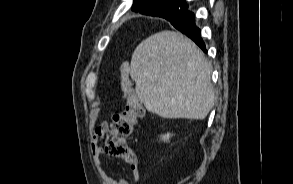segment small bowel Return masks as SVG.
I'll return each instance as SVG.
<instances>
[{
  "label": "small bowel",
  "mask_w": 293,
  "mask_h": 184,
  "mask_svg": "<svg viewBox=\"0 0 293 184\" xmlns=\"http://www.w3.org/2000/svg\"><path fill=\"white\" fill-rule=\"evenodd\" d=\"M109 129V124L107 121H102L98 127L91 134V149L93 153L94 162L100 172L103 180V184H129L126 178H114L108 175L103 169V159L101 157L102 150L98 146L99 142L104 138ZM131 173L135 182H138L140 173L136 160L131 163Z\"/></svg>",
  "instance_id": "small-bowel-1"
}]
</instances>
